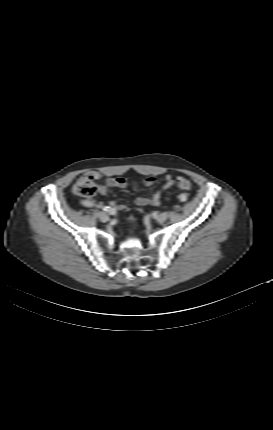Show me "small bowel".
<instances>
[{
	"label": "small bowel",
	"mask_w": 273,
	"mask_h": 430,
	"mask_svg": "<svg viewBox=\"0 0 273 430\" xmlns=\"http://www.w3.org/2000/svg\"><path fill=\"white\" fill-rule=\"evenodd\" d=\"M90 174L93 176L94 179H100L102 177L101 173L97 171H93ZM155 181L156 180L154 177H148L144 180V185L146 187H151L152 185H154ZM164 181L165 182L160 190H158L157 192H155L153 195L149 197H137L135 199V204L138 206L160 205L161 195L163 191L169 189L174 185H177L180 188L181 182L188 181V180L182 177L173 178L170 174H167L164 178ZM105 185L110 188H125L127 186V180L123 177H118V178L108 177L105 179ZM106 186L104 185L99 186L98 188L99 194L101 195L106 194V191H107ZM81 205L87 208H92V207H96L99 209L104 208L102 203H97L89 199L81 200ZM111 207L116 210H124L126 208V206L123 203H119V202H112Z\"/></svg>",
	"instance_id": "1"
}]
</instances>
